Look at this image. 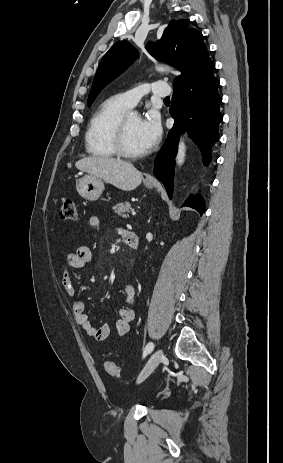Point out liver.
Returning a JSON list of instances; mask_svg holds the SVG:
<instances>
[{
    "instance_id": "1",
    "label": "liver",
    "mask_w": 283,
    "mask_h": 463,
    "mask_svg": "<svg viewBox=\"0 0 283 463\" xmlns=\"http://www.w3.org/2000/svg\"><path fill=\"white\" fill-rule=\"evenodd\" d=\"M78 170L103 179L123 191L137 188L143 175L134 165L121 159L107 156H90L75 163Z\"/></svg>"
}]
</instances>
